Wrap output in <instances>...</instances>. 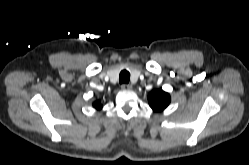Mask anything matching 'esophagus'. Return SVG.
I'll return each instance as SVG.
<instances>
[{
	"instance_id": "esophagus-1",
	"label": "esophagus",
	"mask_w": 249,
	"mask_h": 165,
	"mask_svg": "<svg viewBox=\"0 0 249 165\" xmlns=\"http://www.w3.org/2000/svg\"><path fill=\"white\" fill-rule=\"evenodd\" d=\"M121 89L122 90H131L132 86L130 84H122Z\"/></svg>"
}]
</instances>
